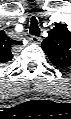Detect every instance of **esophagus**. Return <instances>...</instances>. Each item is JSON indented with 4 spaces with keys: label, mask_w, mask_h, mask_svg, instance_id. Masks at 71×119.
Instances as JSON below:
<instances>
[{
    "label": "esophagus",
    "mask_w": 71,
    "mask_h": 119,
    "mask_svg": "<svg viewBox=\"0 0 71 119\" xmlns=\"http://www.w3.org/2000/svg\"><path fill=\"white\" fill-rule=\"evenodd\" d=\"M30 41L35 44H40L42 42V38L33 35L30 37Z\"/></svg>",
    "instance_id": "esophagus-1"
}]
</instances>
